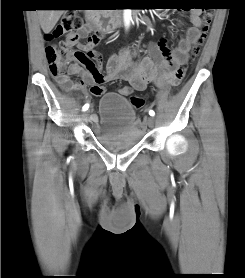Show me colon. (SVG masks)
<instances>
[{
  "mask_svg": "<svg viewBox=\"0 0 245 278\" xmlns=\"http://www.w3.org/2000/svg\"><path fill=\"white\" fill-rule=\"evenodd\" d=\"M197 10H201L199 31L204 34L210 23V5L196 6ZM82 28L81 18L74 13L64 14L55 28L44 34L46 42V55L49 62V70L53 77L58 78L64 84L70 82L64 78L65 69L69 62H83L87 58V53L80 49H73L68 43H56V40L79 31ZM195 54V53H194ZM178 80L174 82L177 84ZM117 92L122 96H129L130 89L128 87H119ZM130 102L135 108H140L144 104V98L141 96H131Z\"/></svg>",
  "mask_w": 245,
  "mask_h": 278,
  "instance_id": "5ec220e1",
  "label": "colon"
}]
</instances>
